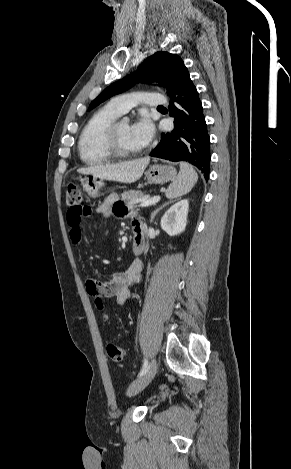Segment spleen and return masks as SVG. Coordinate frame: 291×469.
I'll use <instances>...</instances> for the list:
<instances>
[{
    "label": "spleen",
    "mask_w": 291,
    "mask_h": 469,
    "mask_svg": "<svg viewBox=\"0 0 291 469\" xmlns=\"http://www.w3.org/2000/svg\"><path fill=\"white\" fill-rule=\"evenodd\" d=\"M197 180L198 174L194 168L189 163L181 162L179 174L166 190V197L172 199L187 194Z\"/></svg>",
    "instance_id": "spleen-1"
}]
</instances>
